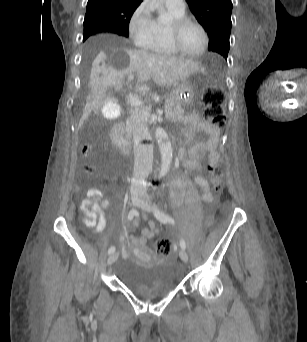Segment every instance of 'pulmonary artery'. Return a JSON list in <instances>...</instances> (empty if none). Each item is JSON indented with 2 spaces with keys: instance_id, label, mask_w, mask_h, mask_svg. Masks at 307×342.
<instances>
[{
  "instance_id": "1",
  "label": "pulmonary artery",
  "mask_w": 307,
  "mask_h": 342,
  "mask_svg": "<svg viewBox=\"0 0 307 342\" xmlns=\"http://www.w3.org/2000/svg\"><path fill=\"white\" fill-rule=\"evenodd\" d=\"M166 8L172 13H184L186 9L185 1H162Z\"/></svg>"
}]
</instances>
